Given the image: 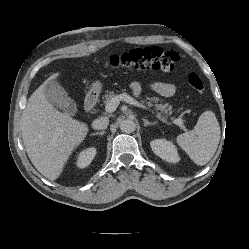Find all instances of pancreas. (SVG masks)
I'll return each mask as SVG.
<instances>
[{"label":"pancreas","instance_id":"obj_1","mask_svg":"<svg viewBox=\"0 0 249 249\" xmlns=\"http://www.w3.org/2000/svg\"><path fill=\"white\" fill-rule=\"evenodd\" d=\"M113 97L114 91L107 90L103 99H105V103H107ZM150 100L151 102H149V104L153 106V109L157 113L158 118L166 120L167 115L171 114L172 112V107L168 103H162L163 100L159 99L158 97H153Z\"/></svg>","mask_w":249,"mask_h":249}]
</instances>
